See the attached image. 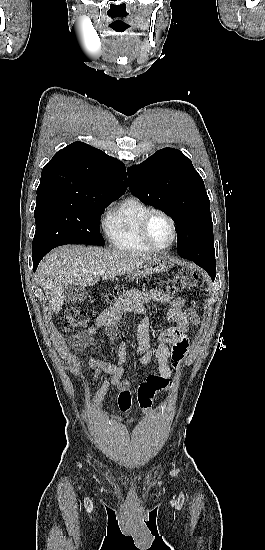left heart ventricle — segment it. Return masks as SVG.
<instances>
[{
  "label": "left heart ventricle",
  "mask_w": 265,
  "mask_h": 550,
  "mask_svg": "<svg viewBox=\"0 0 265 550\" xmlns=\"http://www.w3.org/2000/svg\"><path fill=\"white\" fill-rule=\"evenodd\" d=\"M149 235L156 245H168L172 239L169 221L161 215H154L149 223Z\"/></svg>",
  "instance_id": "b2bd125f"
}]
</instances>
